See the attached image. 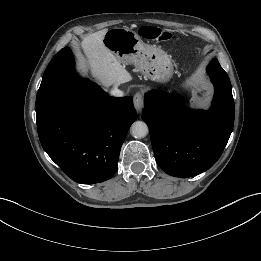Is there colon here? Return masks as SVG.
Masks as SVG:
<instances>
[{"instance_id":"5ec220e1","label":"colon","mask_w":261,"mask_h":261,"mask_svg":"<svg viewBox=\"0 0 261 261\" xmlns=\"http://www.w3.org/2000/svg\"><path fill=\"white\" fill-rule=\"evenodd\" d=\"M140 35L148 40H154L158 42H166L172 38V34L166 30L144 26L140 29ZM197 93L203 99L210 98L214 93L215 78L209 72L202 73L198 78Z\"/></svg>"}]
</instances>
